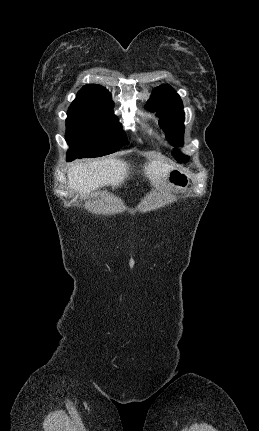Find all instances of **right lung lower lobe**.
<instances>
[{"label": "right lung lower lobe", "instance_id": "1", "mask_svg": "<svg viewBox=\"0 0 259 431\" xmlns=\"http://www.w3.org/2000/svg\"><path fill=\"white\" fill-rule=\"evenodd\" d=\"M72 159L68 158V161H71Z\"/></svg>", "mask_w": 259, "mask_h": 431}]
</instances>
